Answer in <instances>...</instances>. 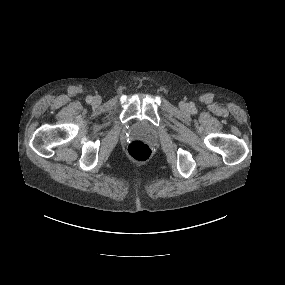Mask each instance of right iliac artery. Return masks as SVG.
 Segmentation results:
<instances>
[{
	"label": "right iliac artery",
	"instance_id": "1",
	"mask_svg": "<svg viewBox=\"0 0 285 285\" xmlns=\"http://www.w3.org/2000/svg\"><path fill=\"white\" fill-rule=\"evenodd\" d=\"M92 100H93V97H92V96H87V98H86V102H87V103H91Z\"/></svg>",
	"mask_w": 285,
	"mask_h": 285
}]
</instances>
